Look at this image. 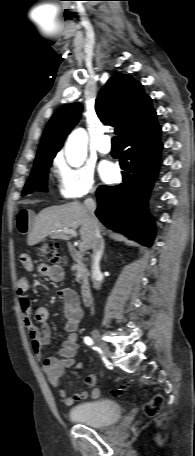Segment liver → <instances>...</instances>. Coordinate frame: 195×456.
I'll use <instances>...</instances> for the list:
<instances>
[{"mask_svg": "<svg viewBox=\"0 0 195 456\" xmlns=\"http://www.w3.org/2000/svg\"><path fill=\"white\" fill-rule=\"evenodd\" d=\"M80 227V237L87 249L93 248L94 229L89 213L78 202H70L64 205L51 206L43 209L35 217L33 226L30 228L27 243L36 245L47 236L54 239L69 240L70 236L65 229H77Z\"/></svg>", "mask_w": 195, "mask_h": 456, "instance_id": "1", "label": "liver"}]
</instances>
